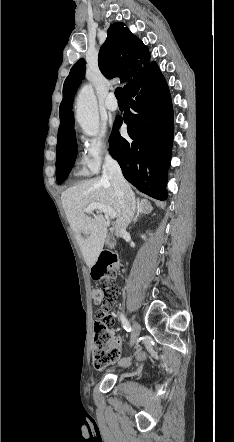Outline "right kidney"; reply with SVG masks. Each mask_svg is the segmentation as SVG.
I'll list each match as a JSON object with an SVG mask.
<instances>
[{
	"instance_id": "ca27d5eb",
	"label": "right kidney",
	"mask_w": 234,
	"mask_h": 442,
	"mask_svg": "<svg viewBox=\"0 0 234 442\" xmlns=\"http://www.w3.org/2000/svg\"><path fill=\"white\" fill-rule=\"evenodd\" d=\"M142 238H143V239H145V236H144V235H142Z\"/></svg>"
}]
</instances>
